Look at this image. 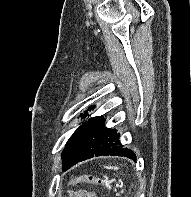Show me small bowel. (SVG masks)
Here are the masks:
<instances>
[{
  "instance_id": "obj_1",
  "label": "small bowel",
  "mask_w": 191,
  "mask_h": 197,
  "mask_svg": "<svg viewBox=\"0 0 191 197\" xmlns=\"http://www.w3.org/2000/svg\"><path fill=\"white\" fill-rule=\"evenodd\" d=\"M73 197H96L92 192L80 190L73 193Z\"/></svg>"
}]
</instances>
